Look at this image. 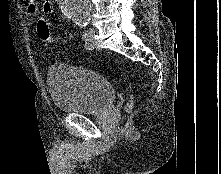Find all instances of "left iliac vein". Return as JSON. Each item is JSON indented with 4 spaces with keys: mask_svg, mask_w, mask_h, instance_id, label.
Wrapping results in <instances>:
<instances>
[{
    "mask_svg": "<svg viewBox=\"0 0 221 174\" xmlns=\"http://www.w3.org/2000/svg\"><path fill=\"white\" fill-rule=\"evenodd\" d=\"M96 31L92 28H89L85 34V38L89 42H93L95 39Z\"/></svg>",
    "mask_w": 221,
    "mask_h": 174,
    "instance_id": "obj_1",
    "label": "left iliac vein"
}]
</instances>
